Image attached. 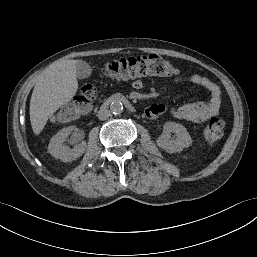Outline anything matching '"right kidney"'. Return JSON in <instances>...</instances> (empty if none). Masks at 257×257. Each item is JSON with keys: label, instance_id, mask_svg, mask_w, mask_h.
Returning <instances> with one entry per match:
<instances>
[{"label": "right kidney", "instance_id": "ca27d5eb", "mask_svg": "<svg viewBox=\"0 0 257 257\" xmlns=\"http://www.w3.org/2000/svg\"><path fill=\"white\" fill-rule=\"evenodd\" d=\"M73 126L65 127L57 132L50 140L48 145V152L55 158L61 159L64 162H70L79 158L86 150V144L80 143L74 148H70L64 142L67 141L69 135L73 131ZM78 136L70 139V143H75Z\"/></svg>", "mask_w": 257, "mask_h": 257}]
</instances>
